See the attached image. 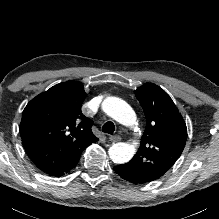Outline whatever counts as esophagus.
Masks as SVG:
<instances>
[{
	"label": "esophagus",
	"mask_w": 219,
	"mask_h": 219,
	"mask_svg": "<svg viewBox=\"0 0 219 219\" xmlns=\"http://www.w3.org/2000/svg\"><path fill=\"white\" fill-rule=\"evenodd\" d=\"M121 140V137L119 135H112L109 137V141L111 142H118Z\"/></svg>",
	"instance_id": "34e87169"
}]
</instances>
